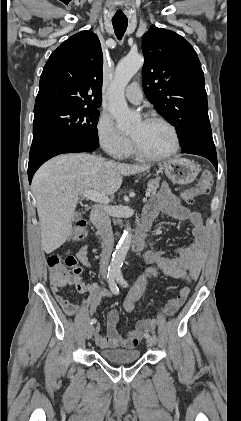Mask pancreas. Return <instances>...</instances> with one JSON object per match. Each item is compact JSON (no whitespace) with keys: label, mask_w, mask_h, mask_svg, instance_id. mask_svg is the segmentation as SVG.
<instances>
[{"label":"pancreas","mask_w":241,"mask_h":421,"mask_svg":"<svg viewBox=\"0 0 241 421\" xmlns=\"http://www.w3.org/2000/svg\"><path fill=\"white\" fill-rule=\"evenodd\" d=\"M159 182L160 178L151 179L147 184L148 191H150L152 194H155L157 192V189L159 188Z\"/></svg>","instance_id":"pancreas-1"}]
</instances>
